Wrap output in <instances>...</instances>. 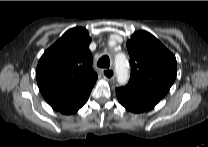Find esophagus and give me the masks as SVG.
Masks as SVG:
<instances>
[{
    "mask_svg": "<svg viewBox=\"0 0 208 147\" xmlns=\"http://www.w3.org/2000/svg\"><path fill=\"white\" fill-rule=\"evenodd\" d=\"M102 74L108 80H113L115 77V71L113 68L103 69Z\"/></svg>",
    "mask_w": 208,
    "mask_h": 147,
    "instance_id": "obj_1",
    "label": "esophagus"
}]
</instances>
